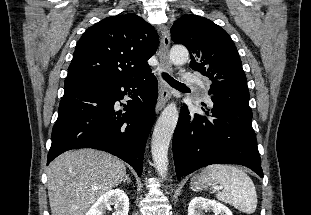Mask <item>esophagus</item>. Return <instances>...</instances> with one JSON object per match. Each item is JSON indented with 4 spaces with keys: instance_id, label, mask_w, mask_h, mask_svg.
I'll return each instance as SVG.
<instances>
[{
    "instance_id": "1",
    "label": "esophagus",
    "mask_w": 311,
    "mask_h": 215,
    "mask_svg": "<svg viewBox=\"0 0 311 215\" xmlns=\"http://www.w3.org/2000/svg\"><path fill=\"white\" fill-rule=\"evenodd\" d=\"M170 34L165 26H162L161 41L159 46V60L162 72L170 73L172 65L169 60ZM170 98V87L168 83L159 76V95L156 103V112L162 110Z\"/></svg>"
}]
</instances>
